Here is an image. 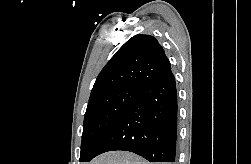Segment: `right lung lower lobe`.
I'll return each instance as SVG.
<instances>
[{"label":"right lung lower lobe","instance_id":"right-lung-lower-lobe-1","mask_svg":"<svg viewBox=\"0 0 251 164\" xmlns=\"http://www.w3.org/2000/svg\"><path fill=\"white\" fill-rule=\"evenodd\" d=\"M177 91L171 70L140 88L138 98L100 138L90 156L113 150L136 153L150 162H174Z\"/></svg>","mask_w":251,"mask_h":164}]
</instances>
